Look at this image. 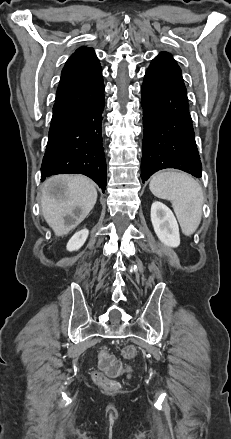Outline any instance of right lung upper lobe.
Wrapping results in <instances>:
<instances>
[{
    "mask_svg": "<svg viewBox=\"0 0 231 439\" xmlns=\"http://www.w3.org/2000/svg\"><path fill=\"white\" fill-rule=\"evenodd\" d=\"M102 72L92 48L80 47L67 60L56 97L75 90L95 79Z\"/></svg>",
    "mask_w": 231,
    "mask_h": 439,
    "instance_id": "right-lung-upper-lobe-1",
    "label": "right lung upper lobe"
}]
</instances>
